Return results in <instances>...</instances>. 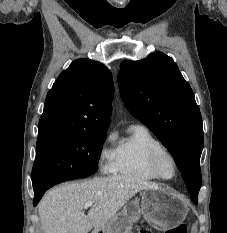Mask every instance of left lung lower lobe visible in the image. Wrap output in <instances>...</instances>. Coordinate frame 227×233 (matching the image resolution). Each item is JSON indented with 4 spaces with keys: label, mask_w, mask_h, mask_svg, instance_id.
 Returning a JSON list of instances; mask_svg holds the SVG:
<instances>
[{
    "label": "left lung lower lobe",
    "mask_w": 227,
    "mask_h": 233,
    "mask_svg": "<svg viewBox=\"0 0 227 233\" xmlns=\"http://www.w3.org/2000/svg\"><path fill=\"white\" fill-rule=\"evenodd\" d=\"M195 204H197V202L196 201H193Z\"/></svg>",
    "instance_id": "1"
}]
</instances>
